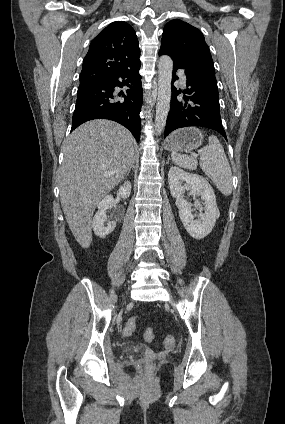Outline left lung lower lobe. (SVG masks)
I'll return each instance as SVG.
<instances>
[{"instance_id":"0a47b994","label":"left lung lower lobe","mask_w":285,"mask_h":424,"mask_svg":"<svg viewBox=\"0 0 285 424\" xmlns=\"http://www.w3.org/2000/svg\"><path fill=\"white\" fill-rule=\"evenodd\" d=\"M164 54L171 56L168 51L160 48L159 55ZM171 57L173 76L177 69H184L187 89L177 90L172 87L171 106L164 137L178 128L202 126L219 132L227 139L221 122L214 65L198 60L183 62L178 58ZM176 78L178 77L176 76ZM175 80L173 77L172 83ZM180 93L184 94L183 97H177Z\"/></svg>"}]
</instances>
